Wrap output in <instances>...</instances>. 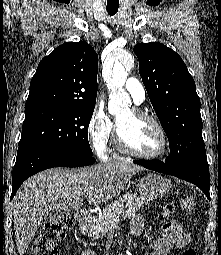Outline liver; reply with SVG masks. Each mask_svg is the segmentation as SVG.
I'll return each instance as SVG.
<instances>
[{
    "label": "liver",
    "mask_w": 221,
    "mask_h": 255,
    "mask_svg": "<svg viewBox=\"0 0 221 255\" xmlns=\"http://www.w3.org/2000/svg\"><path fill=\"white\" fill-rule=\"evenodd\" d=\"M141 167L106 162L75 170L52 168L27 179L13 198V222L18 252L24 255L43 216L52 210L79 209L82 196L94 203L117 197Z\"/></svg>",
    "instance_id": "liver-1"
}]
</instances>
